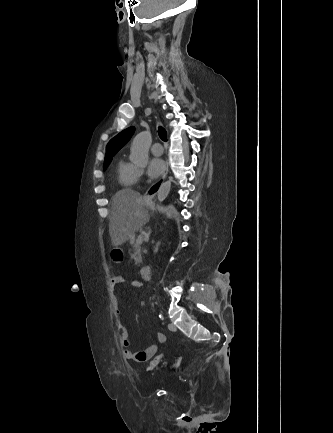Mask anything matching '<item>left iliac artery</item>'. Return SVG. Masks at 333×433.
<instances>
[{
  "instance_id": "44dca946",
  "label": "left iliac artery",
  "mask_w": 333,
  "mask_h": 433,
  "mask_svg": "<svg viewBox=\"0 0 333 433\" xmlns=\"http://www.w3.org/2000/svg\"><path fill=\"white\" fill-rule=\"evenodd\" d=\"M159 318H161L162 320L164 319V318L162 317V315H159Z\"/></svg>"
}]
</instances>
